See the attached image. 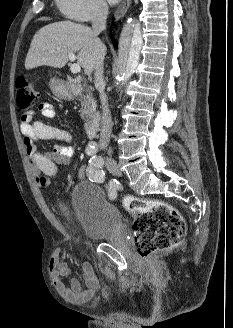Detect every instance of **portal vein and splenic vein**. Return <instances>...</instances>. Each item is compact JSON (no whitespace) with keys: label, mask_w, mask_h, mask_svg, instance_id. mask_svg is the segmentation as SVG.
<instances>
[{"label":"portal vein and splenic vein","mask_w":233,"mask_h":328,"mask_svg":"<svg viewBox=\"0 0 233 328\" xmlns=\"http://www.w3.org/2000/svg\"><path fill=\"white\" fill-rule=\"evenodd\" d=\"M68 57H69L70 61H72V62H74L76 59L75 53H73V52H69ZM70 70L72 73L77 74L81 71V67L79 64L73 63L70 67Z\"/></svg>","instance_id":"1"}]
</instances>
